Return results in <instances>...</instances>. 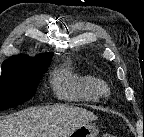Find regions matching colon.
Here are the masks:
<instances>
[{
    "mask_svg": "<svg viewBox=\"0 0 144 137\" xmlns=\"http://www.w3.org/2000/svg\"><path fill=\"white\" fill-rule=\"evenodd\" d=\"M104 137H113L112 135H105Z\"/></svg>",
    "mask_w": 144,
    "mask_h": 137,
    "instance_id": "1",
    "label": "colon"
}]
</instances>
